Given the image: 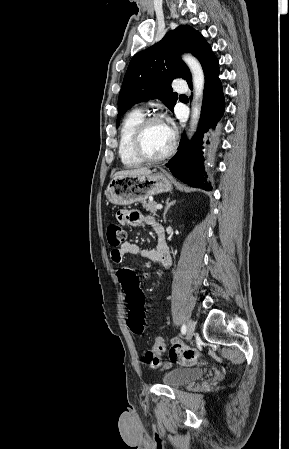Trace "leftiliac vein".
Segmentation results:
<instances>
[{"label":"left iliac vein","instance_id":"4c4485c4","mask_svg":"<svg viewBox=\"0 0 289 449\" xmlns=\"http://www.w3.org/2000/svg\"><path fill=\"white\" fill-rule=\"evenodd\" d=\"M186 331L187 339L190 340L193 337L195 331V322L192 319L188 320Z\"/></svg>","mask_w":289,"mask_h":449}]
</instances>
